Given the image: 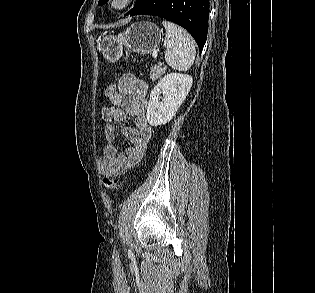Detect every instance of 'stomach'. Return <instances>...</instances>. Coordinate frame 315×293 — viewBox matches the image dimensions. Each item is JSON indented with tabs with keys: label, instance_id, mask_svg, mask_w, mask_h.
Returning a JSON list of instances; mask_svg holds the SVG:
<instances>
[{
	"label": "stomach",
	"instance_id": "stomach-1",
	"mask_svg": "<svg viewBox=\"0 0 315 293\" xmlns=\"http://www.w3.org/2000/svg\"><path fill=\"white\" fill-rule=\"evenodd\" d=\"M160 41L161 31L155 24L138 22L118 36L103 34L97 40V49L109 62H115L122 57L123 47L140 55H146L155 51Z\"/></svg>",
	"mask_w": 315,
	"mask_h": 293
}]
</instances>
